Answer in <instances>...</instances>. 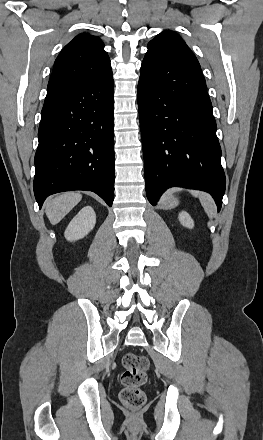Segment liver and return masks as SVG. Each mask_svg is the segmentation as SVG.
Listing matches in <instances>:
<instances>
[{
	"mask_svg": "<svg viewBox=\"0 0 263 440\" xmlns=\"http://www.w3.org/2000/svg\"><path fill=\"white\" fill-rule=\"evenodd\" d=\"M82 199V195L74 192L62 193L50 199L45 208L46 215L52 225L59 223Z\"/></svg>",
	"mask_w": 263,
	"mask_h": 440,
	"instance_id": "liver-1",
	"label": "liver"
}]
</instances>
